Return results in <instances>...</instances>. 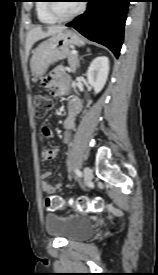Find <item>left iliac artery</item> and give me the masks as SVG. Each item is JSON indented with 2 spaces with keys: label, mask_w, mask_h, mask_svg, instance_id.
<instances>
[{
  "label": "left iliac artery",
  "mask_w": 158,
  "mask_h": 275,
  "mask_svg": "<svg viewBox=\"0 0 158 275\" xmlns=\"http://www.w3.org/2000/svg\"><path fill=\"white\" fill-rule=\"evenodd\" d=\"M75 173H76V175H77L78 177H82V173H81L80 170L76 169V170H75Z\"/></svg>",
  "instance_id": "obj_1"
}]
</instances>
